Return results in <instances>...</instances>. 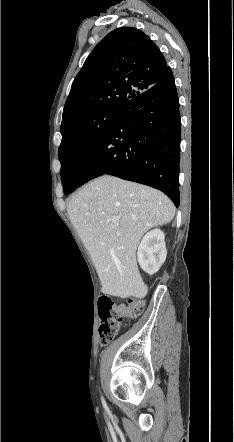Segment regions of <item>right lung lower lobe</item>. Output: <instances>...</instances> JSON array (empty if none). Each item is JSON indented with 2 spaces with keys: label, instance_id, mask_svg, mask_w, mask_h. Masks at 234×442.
<instances>
[{
  "label": "right lung lower lobe",
  "instance_id": "1",
  "mask_svg": "<svg viewBox=\"0 0 234 442\" xmlns=\"http://www.w3.org/2000/svg\"><path fill=\"white\" fill-rule=\"evenodd\" d=\"M180 126L179 100L168 66L153 86L121 107L107 134L77 160L64 193L108 174L159 189L178 207Z\"/></svg>",
  "mask_w": 234,
  "mask_h": 442
}]
</instances>
